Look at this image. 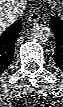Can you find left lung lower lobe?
<instances>
[{"label": "left lung lower lobe", "mask_w": 63, "mask_h": 107, "mask_svg": "<svg viewBox=\"0 0 63 107\" xmlns=\"http://www.w3.org/2000/svg\"><path fill=\"white\" fill-rule=\"evenodd\" d=\"M50 26L56 41V50L53 57L56 64L63 71V20L56 15L51 18Z\"/></svg>", "instance_id": "1"}]
</instances>
